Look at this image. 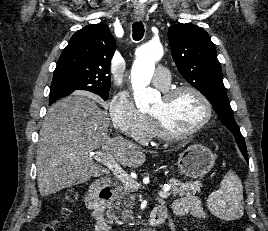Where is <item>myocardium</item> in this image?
Segmentation results:
<instances>
[{
  "instance_id": "f54148a6",
  "label": "myocardium",
  "mask_w": 268,
  "mask_h": 231,
  "mask_svg": "<svg viewBox=\"0 0 268 231\" xmlns=\"http://www.w3.org/2000/svg\"><path fill=\"white\" fill-rule=\"evenodd\" d=\"M183 92L192 93L199 98L204 106V116L202 120L192 129L186 132L177 133L169 127L167 119L164 115H151V118L158 129V132L165 140L177 142L191 138L200 132L211 120L212 105L210 100L202 91L191 85H179L174 88L167 89L162 95L164 106L167 107L170 105L173 100Z\"/></svg>"
}]
</instances>
